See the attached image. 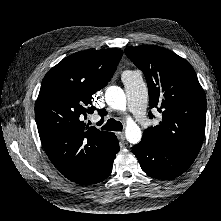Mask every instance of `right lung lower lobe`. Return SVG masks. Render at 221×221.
<instances>
[{"label":"right lung lower lobe","mask_w":221,"mask_h":221,"mask_svg":"<svg viewBox=\"0 0 221 221\" xmlns=\"http://www.w3.org/2000/svg\"><path fill=\"white\" fill-rule=\"evenodd\" d=\"M113 140H114V150L112 152L111 158L109 160V163L107 164V166L105 168H103L99 173L87 177V178H83L77 181H73L74 183L80 184V185H89V184H95V183H99L101 181H103L104 179H106L109 174L112 171V166H113V161L114 158L116 156V153L119 151V142L116 138V136H113Z\"/></svg>","instance_id":"98d812e1"}]
</instances>
